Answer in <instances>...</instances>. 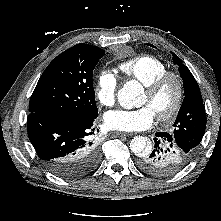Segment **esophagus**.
Segmentation results:
<instances>
[{
  "mask_svg": "<svg viewBox=\"0 0 221 221\" xmlns=\"http://www.w3.org/2000/svg\"><path fill=\"white\" fill-rule=\"evenodd\" d=\"M128 135H130V134L124 133V132H114V133H112L113 137H123V136H128Z\"/></svg>",
  "mask_w": 221,
  "mask_h": 221,
  "instance_id": "1",
  "label": "esophagus"
}]
</instances>
